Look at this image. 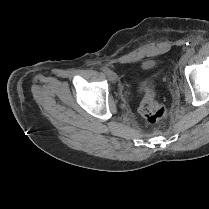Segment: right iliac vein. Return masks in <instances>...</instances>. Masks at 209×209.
<instances>
[{
    "instance_id": "1",
    "label": "right iliac vein",
    "mask_w": 209,
    "mask_h": 209,
    "mask_svg": "<svg viewBox=\"0 0 209 209\" xmlns=\"http://www.w3.org/2000/svg\"><path fill=\"white\" fill-rule=\"evenodd\" d=\"M108 78L111 82H116L117 81V74L113 71H109V73L107 74Z\"/></svg>"
}]
</instances>
